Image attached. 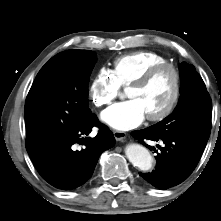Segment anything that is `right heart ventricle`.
<instances>
[{"mask_svg":"<svg viewBox=\"0 0 221 221\" xmlns=\"http://www.w3.org/2000/svg\"><path fill=\"white\" fill-rule=\"evenodd\" d=\"M167 62L165 56L152 51H136L115 58L110 73L120 87H127L150 67Z\"/></svg>","mask_w":221,"mask_h":221,"instance_id":"e07e8e85","label":"right heart ventricle"}]
</instances>
